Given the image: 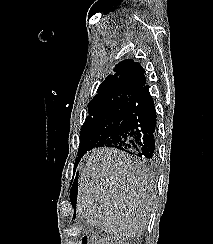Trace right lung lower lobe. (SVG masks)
Returning <instances> with one entry per match:
<instances>
[{
	"mask_svg": "<svg viewBox=\"0 0 213 244\" xmlns=\"http://www.w3.org/2000/svg\"><path fill=\"white\" fill-rule=\"evenodd\" d=\"M155 129L156 110L149 86L146 85L136 96L130 114L120 123L116 133L98 142L94 147L117 148L137 157L151 159L156 146ZM85 153L78 155L77 162ZM76 195L75 182L70 195L72 203Z\"/></svg>",
	"mask_w": 213,
	"mask_h": 244,
	"instance_id": "1",
	"label": "right lung lower lobe"
}]
</instances>
